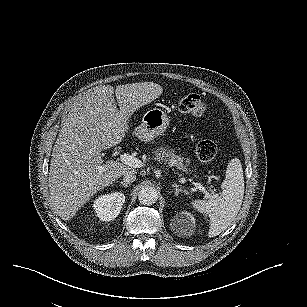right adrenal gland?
I'll list each match as a JSON object with an SVG mask.
<instances>
[{"label": "right adrenal gland", "instance_id": "1", "mask_svg": "<svg viewBox=\"0 0 307 307\" xmlns=\"http://www.w3.org/2000/svg\"><path fill=\"white\" fill-rule=\"evenodd\" d=\"M120 183H121V185H122L123 187H125V188H127V187H129V186L131 185V184L125 183L124 181H121Z\"/></svg>", "mask_w": 307, "mask_h": 307}]
</instances>
